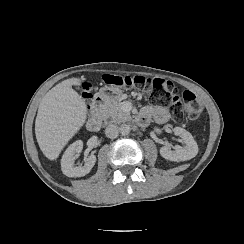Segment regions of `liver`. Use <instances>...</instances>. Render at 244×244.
I'll return each instance as SVG.
<instances>
[{"label":"liver","mask_w":244,"mask_h":244,"mask_svg":"<svg viewBox=\"0 0 244 244\" xmlns=\"http://www.w3.org/2000/svg\"><path fill=\"white\" fill-rule=\"evenodd\" d=\"M81 79L71 78L57 84L42 98L35 120V134L43 154L50 160L58 158L61 150L83 126L87 106L72 89Z\"/></svg>","instance_id":"1"}]
</instances>
